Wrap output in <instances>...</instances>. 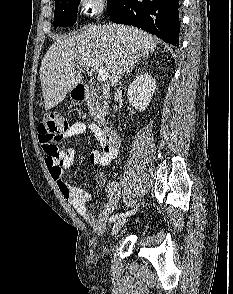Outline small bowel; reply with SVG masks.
Here are the masks:
<instances>
[{
    "label": "small bowel",
    "instance_id": "obj_1",
    "mask_svg": "<svg viewBox=\"0 0 233 294\" xmlns=\"http://www.w3.org/2000/svg\"><path fill=\"white\" fill-rule=\"evenodd\" d=\"M89 130L99 144L98 149L90 153V162L95 165L108 166L117 157L119 152L118 143L111 144L103 136L102 129L95 123L86 124L83 121L73 123L64 133V138L81 135ZM76 152L73 148H68L60 152L59 158L55 159L47 156L45 164L51 178L56 182L61 194L76 210V212L89 223L96 232H102L110 218L113 216L115 207L120 197L121 189L118 182H107L103 174H98L95 178L99 187L106 188V203L98 215L88 208L87 204L91 199L90 193L82 188L70 186L64 180V171L70 168L75 161Z\"/></svg>",
    "mask_w": 233,
    "mask_h": 294
}]
</instances>
